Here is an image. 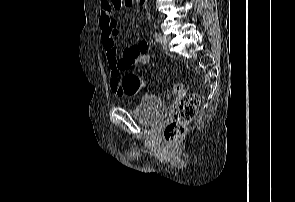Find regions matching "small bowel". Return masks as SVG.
Instances as JSON below:
<instances>
[{
  "label": "small bowel",
  "mask_w": 295,
  "mask_h": 202,
  "mask_svg": "<svg viewBox=\"0 0 295 202\" xmlns=\"http://www.w3.org/2000/svg\"><path fill=\"white\" fill-rule=\"evenodd\" d=\"M118 9L120 8L115 7L111 0H101L99 27L101 30V44L107 54L108 66L110 69V89L112 92L122 95L124 92L121 89V74L132 69L136 64H140L141 52L147 51L149 43L146 41H140L135 45L123 48L122 53L118 54L116 38L118 37L120 30L116 20L112 17L113 12ZM137 91L138 90H136V92Z\"/></svg>",
  "instance_id": "obj_1"
}]
</instances>
